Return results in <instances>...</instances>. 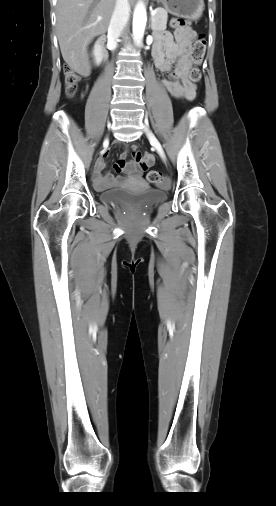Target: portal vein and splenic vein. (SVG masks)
Listing matches in <instances>:
<instances>
[{"mask_svg": "<svg viewBox=\"0 0 276 506\" xmlns=\"http://www.w3.org/2000/svg\"><path fill=\"white\" fill-rule=\"evenodd\" d=\"M155 13H156V10H153V11L151 12V16L153 17V16L155 15ZM101 19H102L101 17H98V20H101Z\"/></svg>", "mask_w": 276, "mask_h": 506, "instance_id": "obj_1", "label": "portal vein and splenic vein"}]
</instances>
